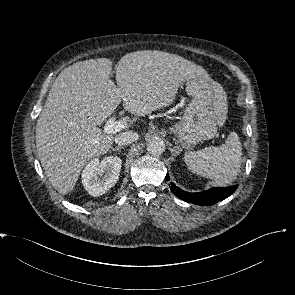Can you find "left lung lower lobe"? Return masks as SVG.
<instances>
[{
    "label": "left lung lower lobe",
    "instance_id": "1",
    "mask_svg": "<svg viewBox=\"0 0 295 295\" xmlns=\"http://www.w3.org/2000/svg\"><path fill=\"white\" fill-rule=\"evenodd\" d=\"M167 181H170L169 175H166L165 178ZM237 185L229 186L225 188L214 187L212 189L199 192V193H188L186 191L181 190L178 188L174 183L171 182V191L175 196L182 199L183 201L202 205V206H209L213 205L219 201H222L232 195L235 190L237 189Z\"/></svg>",
    "mask_w": 295,
    "mask_h": 295
}]
</instances>
